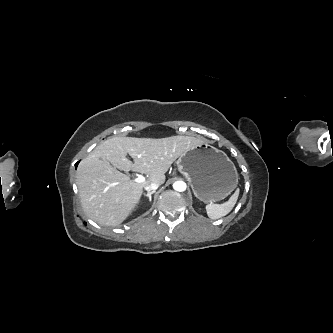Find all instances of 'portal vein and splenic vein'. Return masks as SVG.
<instances>
[{"label":"portal vein and splenic vein","instance_id":"obj_1","mask_svg":"<svg viewBox=\"0 0 333 333\" xmlns=\"http://www.w3.org/2000/svg\"><path fill=\"white\" fill-rule=\"evenodd\" d=\"M135 182L142 183L145 181V177L142 175H139L137 178L134 179Z\"/></svg>","mask_w":333,"mask_h":333}]
</instances>
